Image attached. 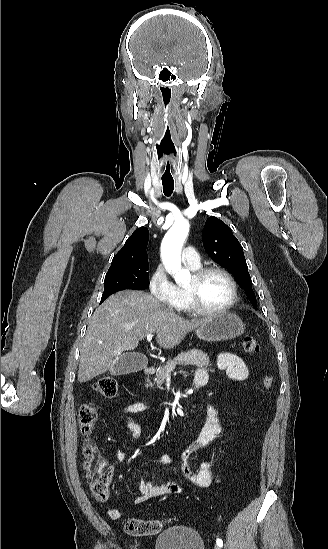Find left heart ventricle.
Listing matches in <instances>:
<instances>
[{
	"mask_svg": "<svg viewBox=\"0 0 328 549\" xmlns=\"http://www.w3.org/2000/svg\"><path fill=\"white\" fill-rule=\"evenodd\" d=\"M193 283L192 277L186 286ZM196 293L206 309H216L225 305L231 297V285L228 279L219 271L207 273L197 284Z\"/></svg>",
	"mask_w": 328,
	"mask_h": 549,
	"instance_id": "b2bd125f",
	"label": "left heart ventricle"
}]
</instances>
